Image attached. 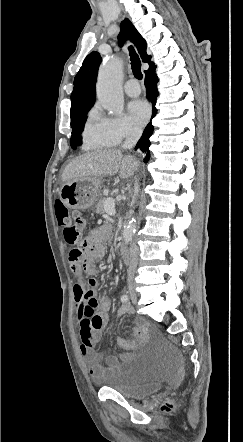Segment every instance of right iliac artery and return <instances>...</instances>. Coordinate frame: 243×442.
I'll return each mask as SVG.
<instances>
[{"mask_svg": "<svg viewBox=\"0 0 243 442\" xmlns=\"http://www.w3.org/2000/svg\"><path fill=\"white\" fill-rule=\"evenodd\" d=\"M121 301H122L123 303L128 302V301H129V296H128L127 294L122 295V296H121Z\"/></svg>", "mask_w": 243, "mask_h": 442, "instance_id": "1", "label": "right iliac artery"}]
</instances>
